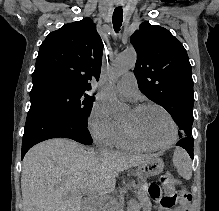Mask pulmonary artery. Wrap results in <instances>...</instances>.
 <instances>
[{
    "label": "pulmonary artery",
    "instance_id": "e3ab8cb5",
    "mask_svg": "<svg viewBox=\"0 0 219 211\" xmlns=\"http://www.w3.org/2000/svg\"><path fill=\"white\" fill-rule=\"evenodd\" d=\"M117 90L126 97H132L138 92L137 80L132 72L125 73L117 83Z\"/></svg>",
    "mask_w": 219,
    "mask_h": 211
}]
</instances>
